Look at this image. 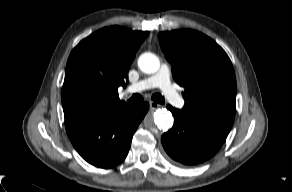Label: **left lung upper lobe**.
Here are the masks:
<instances>
[{"label":"left lung upper lobe","mask_w":292,"mask_h":192,"mask_svg":"<svg viewBox=\"0 0 292 192\" xmlns=\"http://www.w3.org/2000/svg\"><path fill=\"white\" fill-rule=\"evenodd\" d=\"M159 42L172 65L175 81L186 90L183 115L232 125L236 78L225 51L194 30L161 32Z\"/></svg>","instance_id":"obj_1"}]
</instances>
